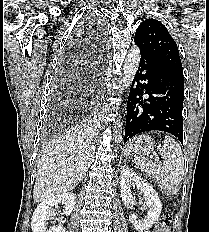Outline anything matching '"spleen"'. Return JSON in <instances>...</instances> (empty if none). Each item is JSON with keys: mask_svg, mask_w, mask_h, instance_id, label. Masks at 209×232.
Returning a JSON list of instances; mask_svg holds the SVG:
<instances>
[{"mask_svg": "<svg viewBox=\"0 0 209 232\" xmlns=\"http://www.w3.org/2000/svg\"><path fill=\"white\" fill-rule=\"evenodd\" d=\"M160 153L164 158L163 163L154 164L149 159L135 157L137 165L156 179L158 185L174 195L179 191V186L184 175V157L179 144L170 136H166Z\"/></svg>", "mask_w": 209, "mask_h": 232, "instance_id": "obj_1", "label": "spleen"}]
</instances>
